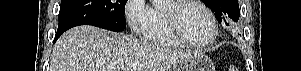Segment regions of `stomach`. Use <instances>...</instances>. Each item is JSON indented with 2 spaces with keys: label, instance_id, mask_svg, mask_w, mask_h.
<instances>
[{
  "label": "stomach",
  "instance_id": "stomach-1",
  "mask_svg": "<svg viewBox=\"0 0 301 71\" xmlns=\"http://www.w3.org/2000/svg\"><path fill=\"white\" fill-rule=\"evenodd\" d=\"M170 71H215L212 60L202 52L191 53Z\"/></svg>",
  "mask_w": 301,
  "mask_h": 71
}]
</instances>
